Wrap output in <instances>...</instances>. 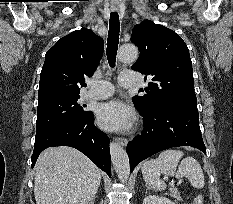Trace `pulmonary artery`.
Returning a JSON list of instances; mask_svg holds the SVG:
<instances>
[{
  "instance_id": "1",
  "label": "pulmonary artery",
  "mask_w": 233,
  "mask_h": 204,
  "mask_svg": "<svg viewBox=\"0 0 233 204\" xmlns=\"http://www.w3.org/2000/svg\"><path fill=\"white\" fill-rule=\"evenodd\" d=\"M119 85L125 88L136 84L137 80L132 73H122L118 79ZM114 92L113 85L108 81H94L90 83V89L85 94V99L99 100L112 96Z\"/></svg>"
}]
</instances>
